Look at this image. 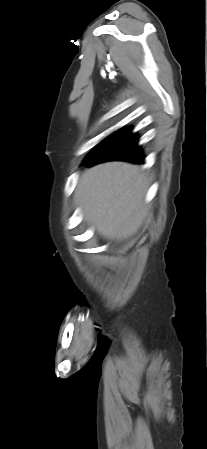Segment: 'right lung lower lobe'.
<instances>
[{
	"mask_svg": "<svg viewBox=\"0 0 207 449\" xmlns=\"http://www.w3.org/2000/svg\"><path fill=\"white\" fill-rule=\"evenodd\" d=\"M137 142L138 136L131 133V128L124 129L110 139L97 153L86 159L84 165L89 167L110 160L142 163L143 154L140 147L137 146Z\"/></svg>",
	"mask_w": 207,
	"mask_h": 449,
	"instance_id": "right-lung-lower-lobe-1",
	"label": "right lung lower lobe"
}]
</instances>
